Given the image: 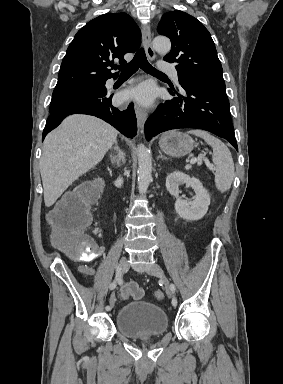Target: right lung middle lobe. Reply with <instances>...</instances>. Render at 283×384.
<instances>
[{
	"instance_id": "dd1d6c3e",
	"label": "right lung middle lobe",
	"mask_w": 283,
	"mask_h": 384,
	"mask_svg": "<svg viewBox=\"0 0 283 384\" xmlns=\"http://www.w3.org/2000/svg\"><path fill=\"white\" fill-rule=\"evenodd\" d=\"M102 93H106L105 82L73 88L55 89L52 94L50 110L75 104Z\"/></svg>"
}]
</instances>
